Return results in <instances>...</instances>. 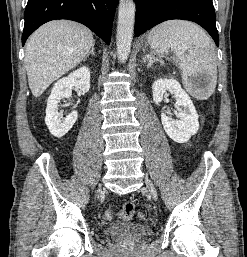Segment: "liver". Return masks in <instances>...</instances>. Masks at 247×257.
Listing matches in <instances>:
<instances>
[{"label":"liver","instance_id":"liver-1","mask_svg":"<svg viewBox=\"0 0 247 257\" xmlns=\"http://www.w3.org/2000/svg\"><path fill=\"white\" fill-rule=\"evenodd\" d=\"M92 32L69 20L50 21L28 39L25 64L30 90L39 97L56 79L76 67L94 44Z\"/></svg>","mask_w":247,"mask_h":257}]
</instances>
